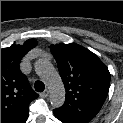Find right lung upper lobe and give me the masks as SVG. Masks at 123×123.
Wrapping results in <instances>:
<instances>
[{
    "label": "right lung upper lobe",
    "instance_id": "cb5924a9",
    "mask_svg": "<svg viewBox=\"0 0 123 123\" xmlns=\"http://www.w3.org/2000/svg\"><path fill=\"white\" fill-rule=\"evenodd\" d=\"M36 45V40L29 39L1 49V123H25L29 103L38 97L19 69L22 57Z\"/></svg>",
    "mask_w": 123,
    "mask_h": 123
}]
</instances>
